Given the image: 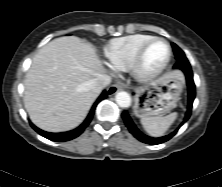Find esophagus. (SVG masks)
<instances>
[{"mask_svg": "<svg viewBox=\"0 0 222 187\" xmlns=\"http://www.w3.org/2000/svg\"><path fill=\"white\" fill-rule=\"evenodd\" d=\"M119 90H121V86L115 84V85H112L110 88H108L107 93L109 96H111L117 93Z\"/></svg>", "mask_w": 222, "mask_h": 187, "instance_id": "esophagus-1", "label": "esophagus"}]
</instances>
